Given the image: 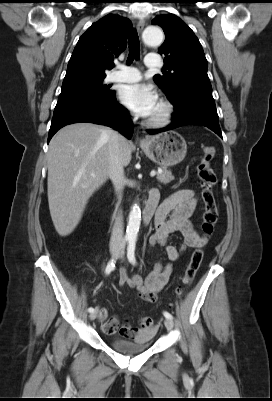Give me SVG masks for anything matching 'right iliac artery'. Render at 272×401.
<instances>
[{"mask_svg":"<svg viewBox=\"0 0 272 401\" xmlns=\"http://www.w3.org/2000/svg\"><path fill=\"white\" fill-rule=\"evenodd\" d=\"M115 263H116L115 259H112V260L109 261V263L107 264L106 269H105V274H106V275L110 274V273L114 270V268H115ZM88 311H89L90 313H92V312H94V308L90 307V308L88 309Z\"/></svg>","mask_w":272,"mask_h":401,"instance_id":"obj_1","label":"right iliac artery"}]
</instances>
